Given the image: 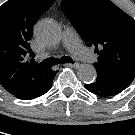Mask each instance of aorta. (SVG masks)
<instances>
[{
	"label": "aorta",
	"instance_id": "aorta-1",
	"mask_svg": "<svg viewBox=\"0 0 135 135\" xmlns=\"http://www.w3.org/2000/svg\"><path fill=\"white\" fill-rule=\"evenodd\" d=\"M36 36L46 44L55 45L62 39L61 28L50 20H43L36 26ZM78 78L84 83H91L96 78V70L93 65L83 64L77 72Z\"/></svg>",
	"mask_w": 135,
	"mask_h": 135
}]
</instances>
